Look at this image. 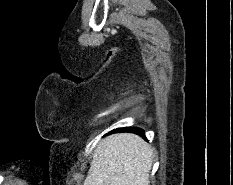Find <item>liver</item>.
Returning a JSON list of instances; mask_svg holds the SVG:
<instances>
[{"label": "liver", "instance_id": "obj_1", "mask_svg": "<svg viewBox=\"0 0 233 185\" xmlns=\"http://www.w3.org/2000/svg\"><path fill=\"white\" fill-rule=\"evenodd\" d=\"M154 150L140 136L113 134L95 148L83 185H149Z\"/></svg>", "mask_w": 233, "mask_h": 185}]
</instances>
